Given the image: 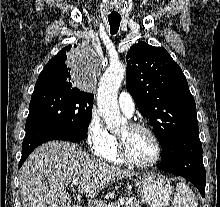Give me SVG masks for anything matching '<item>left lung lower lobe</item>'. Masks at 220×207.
Here are the masks:
<instances>
[{"label":"left lung lower lobe","mask_w":220,"mask_h":207,"mask_svg":"<svg viewBox=\"0 0 220 207\" xmlns=\"http://www.w3.org/2000/svg\"><path fill=\"white\" fill-rule=\"evenodd\" d=\"M157 167L185 177L198 188L203 197L205 196L206 171L198 129L179 134L163 147L161 162Z\"/></svg>","instance_id":"obj_1"}]
</instances>
